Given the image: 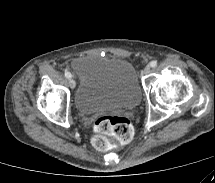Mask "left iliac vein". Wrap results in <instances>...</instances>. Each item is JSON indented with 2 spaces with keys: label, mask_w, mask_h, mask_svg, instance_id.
I'll list each match as a JSON object with an SVG mask.
<instances>
[{
  "label": "left iliac vein",
  "mask_w": 215,
  "mask_h": 183,
  "mask_svg": "<svg viewBox=\"0 0 215 183\" xmlns=\"http://www.w3.org/2000/svg\"><path fill=\"white\" fill-rule=\"evenodd\" d=\"M151 72V68L149 66L145 67L143 70V74L147 75Z\"/></svg>",
  "instance_id": "1"
}]
</instances>
